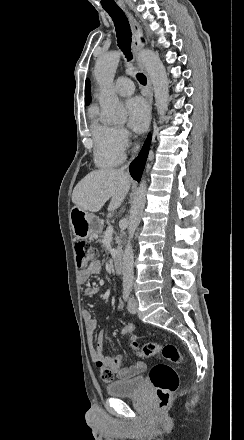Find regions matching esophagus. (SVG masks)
<instances>
[{"label": "esophagus", "instance_id": "obj_1", "mask_svg": "<svg viewBox=\"0 0 244 440\" xmlns=\"http://www.w3.org/2000/svg\"><path fill=\"white\" fill-rule=\"evenodd\" d=\"M126 13L128 15L129 22L131 25L132 34H133L132 48H133V51L135 52V55H136L137 66L144 73V75H146V78H147V87H146L147 93L145 94V96L149 100L150 107L152 108V105H153L152 82H151V79H150L144 65L142 64V62L140 60V54H141V51L144 47V44L141 41V37L143 36L142 27H141L140 23L137 22V20L135 19V17L131 13H129L127 10H126Z\"/></svg>", "mask_w": 244, "mask_h": 440}]
</instances>
